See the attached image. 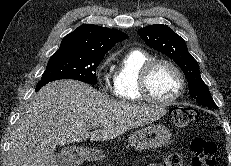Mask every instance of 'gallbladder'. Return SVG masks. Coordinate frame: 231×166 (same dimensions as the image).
Listing matches in <instances>:
<instances>
[{"label":"gallbladder","instance_id":"gallbladder-1","mask_svg":"<svg viewBox=\"0 0 231 166\" xmlns=\"http://www.w3.org/2000/svg\"><path fill=\"white\" fill-rule=\"evenodd\" d=\"M48 166H62L61 158L58 154L54 155Z\"/></svg>","mask_w":231,"mask_h":166}]
</instances>
